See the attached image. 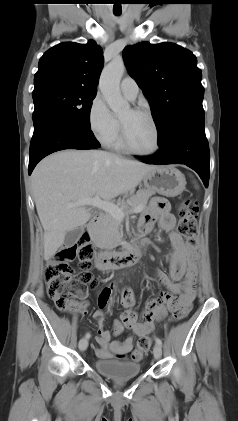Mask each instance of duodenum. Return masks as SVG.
Masks as SVG:
<instances>
[{
    "label": "duodenum",
    "mask_w": 238,
    "mask_h": 421,
    "mask_svg": "<svg viewBox=\"0 0 238 421\" xmlns=\"http://www.w3.org/2000/svg\"><path fill=\"white\" fill-rule=\"evenodd\" d=\"M99 217L94 216L88 223V230L92 231L98 224ZM141 257L139 246L134 245L119 252H100L95 258V266L99 270H109L135 264Z\"/></svg>",
    "instance_id": "410a0bca"
}]
</instances>
